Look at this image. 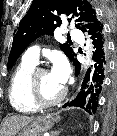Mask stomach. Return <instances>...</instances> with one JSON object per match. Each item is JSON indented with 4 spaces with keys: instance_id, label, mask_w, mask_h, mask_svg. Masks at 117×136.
Segmentation results:
<instances>
[{
    "instance_id": "obj_1",
    "label": "stomach",
    "mask_w": 117,
    "mask_h": 136,
    "mask_svg": "<svg viewBox=\"0 0 117 136\" xmlns=\"http://www.w3.org/2000/svg\"><path fill=\"white\" fill-rule=\"evenodd\" d=\"M55 121H57V118L52 117V115L38 116L24 127L17 136H41L52 128Z\"/></svg>"
}]
</instances>
